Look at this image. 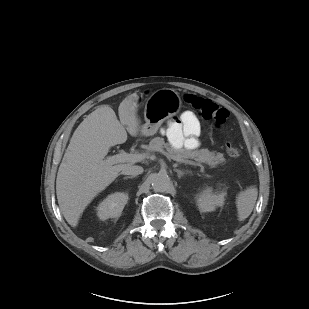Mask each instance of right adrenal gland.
<instances>
[{
	"label": "right adrenal gland",
	"instance_id": "obj_1",
	"mask_svg": "<svg viewBox=\"0 0 309 309\" xmlns=\"http://www.w3.org/2000/svg\"><path fill=\"white\" fill-rule=\"evenodd\" d=\"M132 178H134V176H127V177H124L123 179L127 180V179H132Z\"/></svg>",
	"mask_w": 309,
	"mask_h": 309
}]
</instances>
